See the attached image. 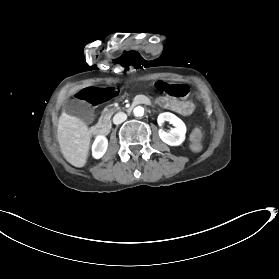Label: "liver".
I'll return each instance as SVG.
<instances>
[{"label":"liver","mask_w":279,"mask_h":279,"mask_svg":"<svg viewBox=\"0 0 279 279\" xmlns=\"http://www.w3.org/2000/svg\"><path fill=\"white\" fill-rule=\"evenodd\" d=\"M57 138L65 159L75 167H83L90 145L86 124L63 111L58 121Z\"/></svg>","instance_id":"liver-1"}]
</instances>
